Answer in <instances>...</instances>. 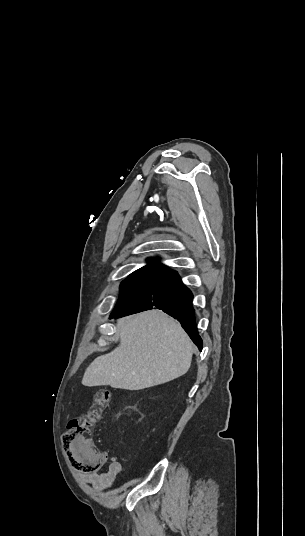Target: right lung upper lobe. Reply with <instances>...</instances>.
Instances as JSON below:
<instances>
[{
    "instance_id": "right-lung-upper-lobe-1",
    "label": "right lung upper lobe",
    "mask_w": 305,
    "mask_h": 536,
    "mask_svg": "<svg viewBox=\"0 0 305 536\" xmlns=\"http://www.w3.org/2000/svg\"><path fill=\"white\" fill-rule=\"evenodd\" d=\"M148 262V265L133 272L129 277H158L165 279L177 274L154 258H149Z\"/></svg>"
}]
</instances>
